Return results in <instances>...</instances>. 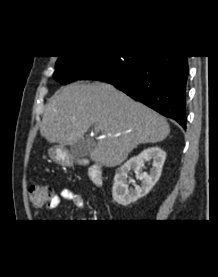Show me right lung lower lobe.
I'll list each match as a JSON object with an SVG mask.
<instances>
[{
    "label": "right lung lower lobe",
    "instance_id": "obj_1",
    "mask_svg": "<svg viewBox=\"0 0 218 277\" xmlns=\"http://www.w3.org/2000/svg\"><path fill=\"white\" fill-rule=\"evenodd\" d=\"M187 56L149 55L124 81H107L128 96L186 127ZM85 79L104 80L101 76Z\"/></svg>",
    "mask_w": 218,
    "mask_h": 277
}]
</instances>
